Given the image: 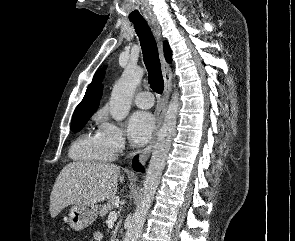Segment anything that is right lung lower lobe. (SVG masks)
Instances as JSON below:
<instances>
[{
  "instance_id": "1",
  "label": "right lung lower lobe",
  "mask_w": 295,
  "mask_h": 241,
  "mask_svg": "<svg viewBox=\"0 0 295 241\" xmlns=\"http://www.w3.org/2000/svg\"><path fill=\"white\" fill-rule=\"evenodd\" d=\"M134 170L144 172L143 167L139 164L137 156L133 159L132 164Z\"/></svg>"
}]
</instances>
